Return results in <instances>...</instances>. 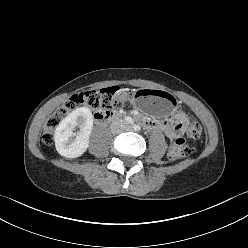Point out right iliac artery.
I'll return each instance as SVG.
<instances>
[{
	"mask_svg": "<svg viewBox=\"0 0 248 248\" xmlns=\"http://www.w3.org/2000/svg\"><path fill=\"white\" fill-rule=\"evenodd\" d=\"M125 120H126L128 123H130V124H133V123H134L133 119L130 118V117H125Z\"/></svg>",
	"mask_w": 248,
	"mask_h": 248,
	"instance_id": "obj_1",
	"label": "right iliac artery"
}]
</instances>
